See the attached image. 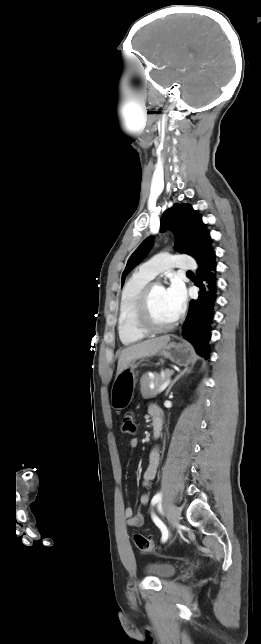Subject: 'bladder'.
<instances>
[{"mask_svg":"<svg viewBox=\"0 0 261 644\" xmlns=\"http://www.w3.org/2000/svg\"><path fill=\"white\" fill-rule=\"evenodd\" d=\"M176 566L170 563H150L146 567V572L159 579H167L176 573Z\"/></svg>","mask_w":261,"mask_h":644,"instance_id":"bladder-1","label":"bladder"}]
</instances>
